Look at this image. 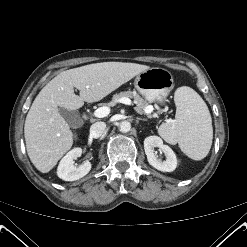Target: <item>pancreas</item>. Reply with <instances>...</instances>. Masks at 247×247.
Instances as JSON below:
<instances>
[{
	"label": "pancreas",
	"instance_id": "1",
	"mask_svg": "<svg viewBox=\"0 0 247 247\" xmlns=\"http://www.w3.org/2000/svg\"><path fill=\"white\" fill-rule=\"evenodd\" d=\"M123 97L134 98V101L137 105L135 107V110L139 113H142L143 110L148 106V103L134 91H125V92H120L118 94L113 95L112 101L108 103V105L114 106L118 102V100Z\"/></svg>",
	"mask_w": 247,
	"mask_h": 247
}]
</instances>
